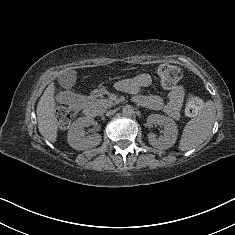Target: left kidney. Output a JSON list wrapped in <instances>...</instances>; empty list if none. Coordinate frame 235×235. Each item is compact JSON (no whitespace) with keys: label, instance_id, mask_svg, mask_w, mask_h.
I'll use <instances>...</instances> for the list:
<instances>
[{"label":"left kidney","instance_id":"obj_1","mask_svg":"<svg viewBox=\"0 0 235 235\" xmlns=\"http://www.w3.org/2000/svg\"><path fill=\"white\" fill-rule=\"evenodd\" d=\"M146 125L149 128L157 125L163 127V135H160L159 137L153 132L148 133V142L153 147L168 149L175 144L178 136V129L172 118L160 114H151L147 117Z\"/></svg>","mask_w":235,"mask_h":235}]
</instances>
